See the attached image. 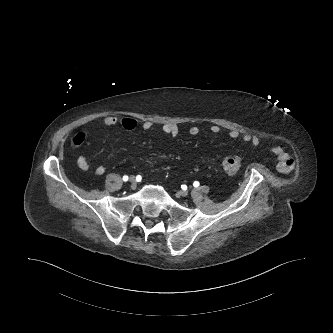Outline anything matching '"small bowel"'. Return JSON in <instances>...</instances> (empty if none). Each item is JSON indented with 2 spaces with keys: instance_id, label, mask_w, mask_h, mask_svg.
Segmentation results:
<instances>
[{
  "instance_id": "1",
  "label": "small bowel",
  "mask_w": 333,
  "mask_h": 333,
  "mask_svg": "<svg viewBox=\"0 0 333 333\" xmlns=\"http://www.w3.org/2000/svg\"><path fill=\"white\" fill-rule=\"evenodd\" d=\"M118 123V118L115 116H109L103 119L99 123V127H109ZM121 127L126 131H132L137 127V121L134 118H123L120 121ZM153 124L150 121H144L141 124V128L144 131H148L152 128ZM162 130L164 133L172 136H177L180 133V127L175 123H166L162 126ZM210 131L213 134H218L220 132V127L217 125H212L210 127ZM189 133L193 136H196L200 133V127L198 125H193L189 128ZM229 138L235 140L241 138L244 142L250 143L253 146H258L260 144V139L257 136L250 134L241 135L238 130H231L229 132ZM271 153L277 158L281 170L283 172H291L295 168V162L293 158L283 149L280 145H274L270 148ZM78 167L84 171L88 172L90 170V165L85 156H80L77 160ZM106 172V168L104 165L99 164L95 168V174L97 176H102Z\"/></svg>"
}]
</instances>
